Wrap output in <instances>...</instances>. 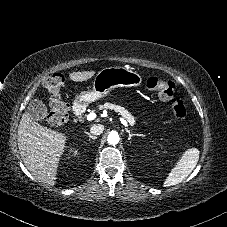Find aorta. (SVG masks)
<instances>
[{
    "label": "aorta",
    "instance_id": "762f6f07",
    "mask_svg": "<svg viewBox=\"0 0 227 227\" xmlns=\"http://www.w3.org/2000/svg\"><path fill=\"white\" fill-rule=\"evenodd\" d=\"M107 141L110 145H116L119 142V135L117 132H111L108 135Z\"/></svg>",
    "mask_w": 227,
    "mask_h": 227
}]
</instances>
